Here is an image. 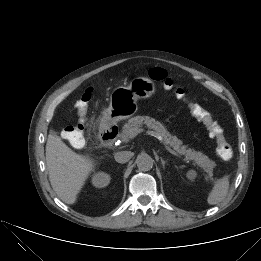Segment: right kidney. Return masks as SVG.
<instances>
[{"label":"right kidney","mask_w":261,"mask_h":261,"mask_svg":"<svg viewBox=\"0 0 261 261\" xmlns=\"http://www.w3.org/2000/svg\"><path fill=\"white\" fill-rule=\"evenodd\" d=\"M110 175L104 172H98L92 177V184L96 188L106 187L110 183Z\"/></svg>","instance_id":"right-kidney-1"}]
</instances>
